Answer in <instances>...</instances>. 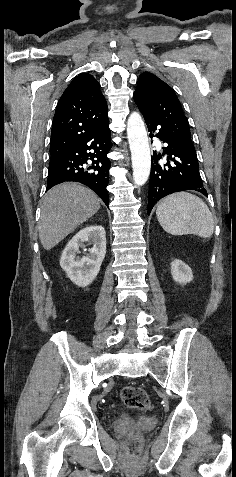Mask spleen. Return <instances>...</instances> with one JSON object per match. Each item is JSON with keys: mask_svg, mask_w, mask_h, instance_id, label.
<instances>
[{"mask_svg": "<svg viewBox=\"0 0 236 477\" xmlns=\"http://www.w3.org/2000/svg\"><path fill=\"white\" fill-rule=\"evenodd\" d=\"M161 227L172 235L195 234L210 238L214 220L208 206L198 196L179 192L167 196L156 210Z\"/></svg>", "mask_w": 236, "mask_h": 477, "instance_id": "spleen-1", "label": "spleen"}]
</instances>
